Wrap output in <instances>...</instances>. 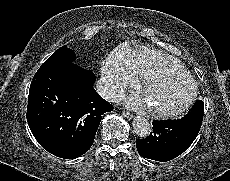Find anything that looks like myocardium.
<instances>
[{
	"instance_id": "obj_1",
	"label": "myocardium",
	"mask_w": 230,
	"mask_h": 181,
	"mask_svg": "<svg viewBox=\"0 0 230 181\" xmlns=\"http://www.w3.org/2000/svg\"><path fill=\"white\" fill-rule=\"evenodd\" d=\"M181 78L187 80L191 84V92L187 98V100L179 107L174 109H158L153 108L152 112L153 114L161 117H176L181 114H183L185 111H187L191 105L193 104L196 96H197V84L193 77L189 75L186 71H174V70H161L156 71L145 77L140 85V91L144 94L149 85H151L153 82H156L158 80H161L163 78Z\"/></svg>"
}]
</instances>
